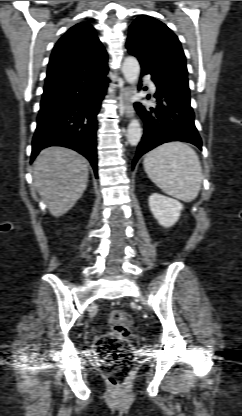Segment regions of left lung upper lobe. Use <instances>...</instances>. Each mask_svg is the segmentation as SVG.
<instances>
[{
	"instance_id": "left-lung-upper-lobe-1",
	"label": "left lung upper lobe",
	"mask_w": 242,
	"mask_h": 416,
	"mask_svg": "<svg viewBox=\"0 0 242 416\" xmlns=\"http://www.w3.org/2000/svg\"><path fill=\"white\" fill-rule=\"evenodd\" d=\"M126 48L162 85L190 96L184 52L177 36L164 23L139 16L129 28Z\"/></svg>"
}]
</instances>
